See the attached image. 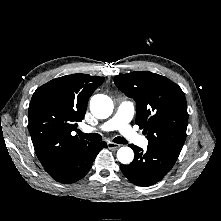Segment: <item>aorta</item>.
Masks as SVG:
<instances>
[{"label": "aorta", "mask_w": 221, "mask_h": 221, "mask_svg": "<svg viewBox=\"0 0 221 221\" xmlns=\"http://www.w3.org/2000/svg\"><path fill=\"white\" fill-rule=\"evenodd\" d=\"M90 110L92 114L99 119L108 118L113 111V102L106 95H94L90 101ZM117 159L122 164H129L134 159V152L130 147H121L117 151Z\"/></svg>", "instance_id": "aorta-1"}]
</instances>
